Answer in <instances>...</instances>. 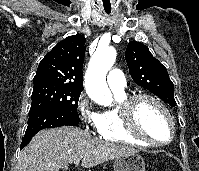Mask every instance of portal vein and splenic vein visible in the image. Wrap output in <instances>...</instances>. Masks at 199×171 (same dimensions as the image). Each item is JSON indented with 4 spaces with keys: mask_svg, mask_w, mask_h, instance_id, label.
<instances>
[{
    "mask_svg": "<svg viewBox=\"0 0 199 171\" xmlns=\"http://www.w3.org/2000/svg\"><path fill=\"white\" fill-rule=\"evenodd\" d=\"M79 162H80V159H75L74 160V164H76V165L79 164Z\"/></svg>",
    "mask_w": 199,
    "mask_h": 171,
    "instance_id": "portal-vein-and-splenic-vein-1",
    "label": "portal vein and splenic vein"
}]
</instances>
